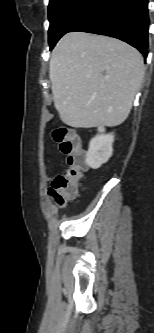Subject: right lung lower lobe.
<instances>
[{
    "label": "right lung lower lobe",
    "mask_w": 154,
    "mask_h": 333,
    "mask_svg": "<svg viewBox=\"0 0 154 333\" xmlns=\"http://www.w3.org/2000/svg\"><path fill=\"white\" fill-rule=\"evenodd\" d=\"M148 0H99L69 32L83 31L118 38L148 54Z\"/></svg>",
    "instance_id": "right-lung-lower-lobe-1"
}]
</instances>
